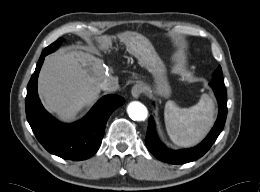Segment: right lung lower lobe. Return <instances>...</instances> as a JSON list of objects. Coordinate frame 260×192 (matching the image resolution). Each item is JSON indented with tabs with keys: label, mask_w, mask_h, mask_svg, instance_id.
Segmentation results:
<instances>
[{
	"label": "right lung lower lobe",
	"mask_w": 260,
	"mask_h": 192,
	"mask_svg": "<svg viewBox=\"0 0 260 192\" xmlns=\"http://www.w3.org/2000/svg\"><path fill=\"white\" fill-rule=\"evenodd\" d=\"M46 54L42 53L27 87L26 116L38 141L50 153L69 160H84L100 147L111 113L124 104L117 95L101 98L80 121L63 124L43 108L37 94V78Z\"/></svg>",
	"instance_id": "obj_1"
}]
</instances>
